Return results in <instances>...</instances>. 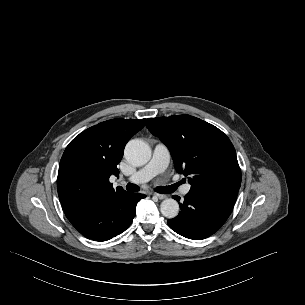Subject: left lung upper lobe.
Masks as SVG:
<instances>
[{
  "label": "left lung upper lobe",
  "mask_w": 305,
  "mask_h": 305,
  "mask_svg": "<svg viewBox=\"0 0 305 305\" xmlns=\"http://www.w3.org/2000/svg\"><path fill=\"white\" fill-rule=\"evenodd\" d=\"M146 126L168 147L175 169L189 176L191 189H239L241 170L229 138L190 115L148 118Z\"/></svg>",
  "instance_id": "left-lung-upper-lobe-1"
}]
</instances>
